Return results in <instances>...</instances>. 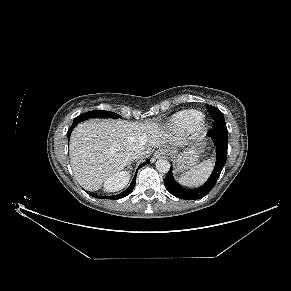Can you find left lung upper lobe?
<instances>
[{
	"instance_id": "5c2ea615",
	"label": "left lung upper lobe",
	"mask_w": 291,
	"mask_h": 291,
	"mask_svg": "<svg viewBox=\"0 0 291 291\" xmlns=\"http://www.w3.org/2000/svg\"><path fill=\"white\" fill-rule=\"evenodd\" d=\"M207 108H208V110L210 111L211 115L214 118V121H215L214 124H225L226 125L225 120H224V116H223L222 112L218 108H216L214 106H211V105H207ZM180 198L189 200L192 197L190 196L189 193L183 192L180 195Z\"/></svg>"
}]
</instances>
